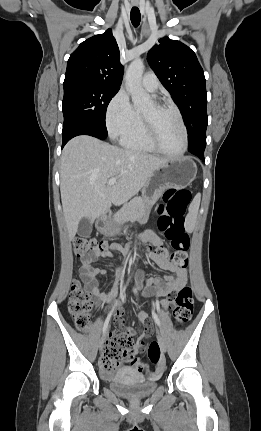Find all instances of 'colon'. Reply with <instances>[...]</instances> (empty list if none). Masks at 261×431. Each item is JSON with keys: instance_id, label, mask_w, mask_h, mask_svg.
<instances>
[{"instance_id": "1", "label": "colon", "mask_w": 261, "mask_h": 431, "mask_svg": "<svg viewBox=\"0 0 261 431\" xmlns=\"http://www.w3.org/2000/svg\"><path fill=\"white\" fill-rule=\"evenodd\" d=\"M191 200V193L187 189H168L163 196L164 204L160 207V216L157 221L158 229L170 241L173 252L163 246L156 249L155 253L161 258H168L177 266L186 267L188 264V249L190 237L184 227V214ZM76 255L81 258L83 266H89L97 252H103L108 245L95 238L78 237L73 243ZM169 306L173 307L175 322L182 326L186 324L193 313V292L190 286L182 287L176 294L167 297ZM91 293L80 281L75 280L71 287L69 300V313L79 330L86 331L91 325ZM133 342L130 336L124 332H112L109 334L102 356V365L108 373L116 372L121 364L131 360V367L136 373H143L148 382L160 379L164 371L163 364L166 361L165 354L157 342L151 343L149 357L155 364L152 370L141 360H134Z\"/></svg>"}]
</instances>
